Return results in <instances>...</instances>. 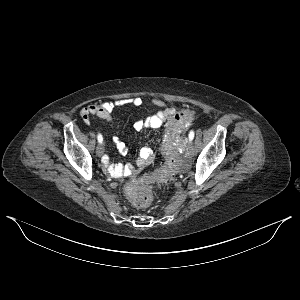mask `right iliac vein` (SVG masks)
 <instances>
[{
    "label": "right iliac vein",
    "mask_w": 300,
    "mask_h": 300,
    "mask_svg": "<svg viewBox=\"0 0 300 300\" xmlns=\"http://www.w3.org/2000/svg\"><path fill=\"white\" fill-rule=\"evenodd\" d=\"M96 154L100 157L104 154V144H99L96 148Z\"/></svg>",
    "instance_id": "63e3f726"
}]
</instances>
